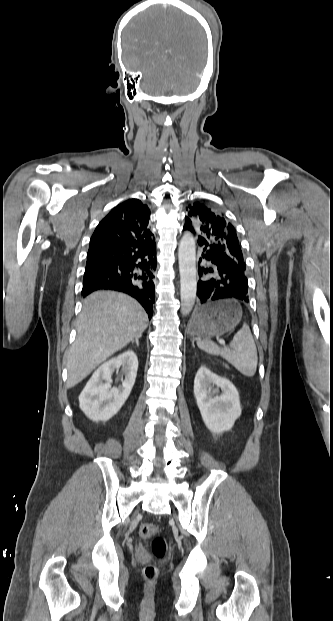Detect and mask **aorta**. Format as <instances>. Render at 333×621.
<instances>
[{"mask_svg":"<svg viewBox=\"0 0 333 621\" xmlns=\"http://www.w3.org/2000/svg\"><path fill=\"white\" fill-rule=\"evenodd\" d=\"M179 271L181 284V313L188 315L195 303L196 298V246L193 236L185 233L180 241Z\"/></svg>","mask_w":333,"mask_h":621,"instance_id":"obj_1","label":"aorta"}]
</instances>
